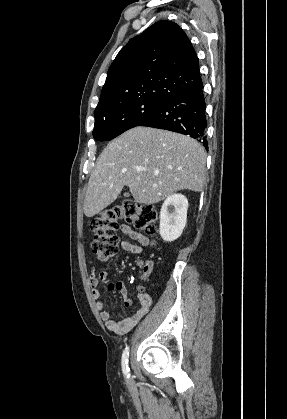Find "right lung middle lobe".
I'll return each instance as SVG.
<instances>
[{
  "instance_id": "right-lung-middle-lobe-1",
  "label": "right lung middle lobe",
  "mask_w": 287,
  "mask_h": 419,
  "mask_svg": "<svg viewBox=\"0 0 287 419\" xmlns=\"http://www.w3.org/2000/svg\"><path fill=\"white\" fill-rule=\"evenodd\" d=\"M163 100H136L95 114L93 137L98 141L112 140L123 132L139 126L157 111Z\"/></svg>"
}]
</instances>
